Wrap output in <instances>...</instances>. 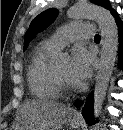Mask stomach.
<instances>
[{
	"mask_svg": "<svg viewBox=\"0 0 123 130\" xmlns=\"http://www.w3.org/2000/svg\"><path fill=\"white\" fill-rule=\"evenodd\" d=\"M70 125L72 126V128L78 129L80 127L81 123H80V121L72 119Z\"/></svg>",
	"mask_w": 123,
	"mask_h": 130,
	"instance_id": "1",
	"label": "stomach"
}]
</instances>
